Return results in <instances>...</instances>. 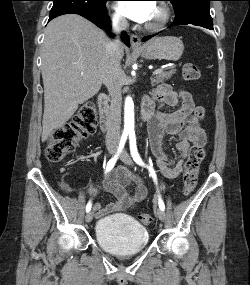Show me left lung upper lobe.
<instances>
[{"instance_id": "1", "label": "left lung upper lobe", "mask_w": 250, "mask_h": 285, "mask_svg": "<svg viewBox=\"0 0 250 285\" xmlns=\"http://www.w3.org/2000/svg\"><path fill=\"white\" fill-rule=\"evenodd\" d=\"M175 10V23L194 20L211 21L210 1L212 0H168Z\"/></svg>"}]
</instances>
